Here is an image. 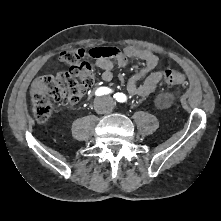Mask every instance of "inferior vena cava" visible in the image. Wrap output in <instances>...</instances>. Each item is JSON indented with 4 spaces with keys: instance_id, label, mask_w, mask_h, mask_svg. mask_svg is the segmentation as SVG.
<instances>
[{
    "instance_id": "1",
    "label": "inferior vena cava",
    "mask_w": 221,
    "mask_h": 221,
    "mask_svg": "<svg viewBox=\"0 0 221 221\" xmlns=\"http://www.w3.org/2000/svg\"><path fill=\"white\" fill-rule=\"evenodd\" d=\"M111 109H112V106L110 105V106L108 107V110H111ZM108 110H107V111H108ZM104 112H106V111H104Z\"/></svg>"
}]
</instances>
